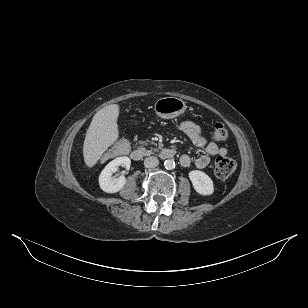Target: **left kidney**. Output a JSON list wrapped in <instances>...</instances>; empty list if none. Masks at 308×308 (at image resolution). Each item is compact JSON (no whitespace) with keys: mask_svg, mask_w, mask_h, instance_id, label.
I'll return each mask as SVG.
<instances>
[{"mask_svg":"<svg viewBox=\"0 0 308 308\" xmlns=\"http://www.w3.org/2000/svg\"><path fill=\"white\" fill-rule=\"evenodd\" d=\"M189 179L195 191L203 196H208L213 194L214 186L212 179L200 170H193L189 172Z\"/></svg>","mask_w":308,"mask_h":308,"instance_id":"5707ae66","label":"left kidney"}]
</instances>
